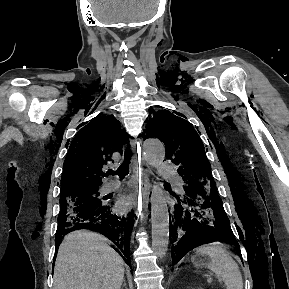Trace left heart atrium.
<instances>
[{
	"label": "left heart atrium",
	"instance_id": "left-heart-atrium-1",
	"mask_svg": "<svg viewBox=\"0 0 289 289\" xmlns=\"http://www.w3.org/2000/svg\"><path fill=\"white\" fill-rule=\"evenodd\" d=\"M139 201L138 196H126L119 200L118 208L120 211H128L134 204Z\"/></svg>",
	"mask_w": 289,
	"mask_h": 289
}]
</instances>
